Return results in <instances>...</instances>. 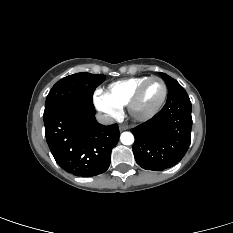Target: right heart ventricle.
<instances>
[{
    "instance_id": "1",
    "label": "right heart ventricle",
    "mask_w": 233,
    "mask_h": 233,
    "mask_svg": "<svg viewBox=\"0 0 233 233\" xmlns=\"http://www.w3.org/2000/svg\"><path fill=\"white\" fill-rule=\"evenodd\" d=\"M148 77H136L111 83L103 92L106 100L119 109L127 106L136 88Z\"/></svg>"
}]
</instances>
